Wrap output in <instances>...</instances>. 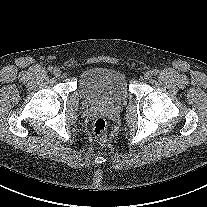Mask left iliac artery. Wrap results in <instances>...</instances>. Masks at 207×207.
<instances>
[{"mask_svg":"<svg viewBox=\"0 0 207 207\" xmlns=\"http://www.w3.org/2000/svg\"><path fill=\"white\" fill-rule=\"evenodd\" d=\"M158 73H159L158 69H154V70L152 71V74H153V75H157Z\"/></svg>","mask_w":207,"mask_h":207,"instance_id":"44dca946","label":"left iliac artery"}]
</instances>
